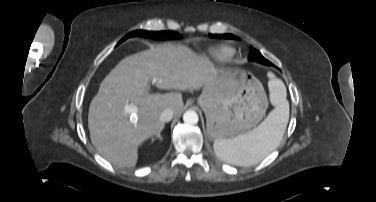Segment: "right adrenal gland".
Returning <instances> with one entry per match:
<instances>
[{"label":"right adrenal gland","mask_w":376,"mask_h":202,"mask_svg":"<svg viewBox=\"0 0 376 202\" xmlns=\"http://www.w3.org/2000/svg\"><path fill=\"white\" fill-rule=\"evenodd\" d=\"M156 138L159 139L160 141L163 139L161 136H160V132L156 135ZM155 137H152V141H154Z\"/></svg>","instance_id":"2a0ac1e0"}]
</instances>
